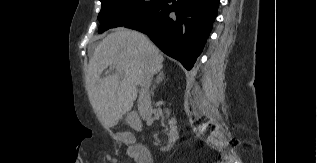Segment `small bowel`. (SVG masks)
I'll list each match as a JSON object with an SVG mask.
<instances>
[{"instance_id":"1","label":"small bowel","mask_w":317,"mask_h":163,"mask_svg":"<svg viewBox=\"0 0 317 163\" xmlns=\"http://www.w3.org/2000/svg\"><path fill=\"white\" fill-rule=\"evenodd\" d=\"M129 155L134 158L136 163H153L150 153L147 156L139 157L135 154L132 146L129 148Z\"/></svg>"}]
</instances>
